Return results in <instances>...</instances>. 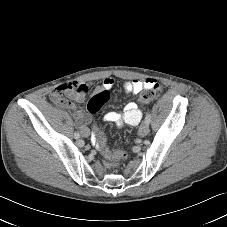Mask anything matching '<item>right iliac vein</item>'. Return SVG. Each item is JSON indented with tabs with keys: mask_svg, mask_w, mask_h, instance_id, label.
<instances>
[{
	"mask_svg": "<svg viewBox=\"0 0 227 227\" xmlns=\"http://www.w3.org/2000/svg\"><path fill=\"white\" fill-rule=\"evenodd\" d=\"M83 136H85V137L89 136V131L85 130Z\"/></svg>",
	"mask_w": 227,
	"mask_h": 227,
	"instance_id": "63e3f726",
	"label": "right iliac vein"
}]
</instances>
